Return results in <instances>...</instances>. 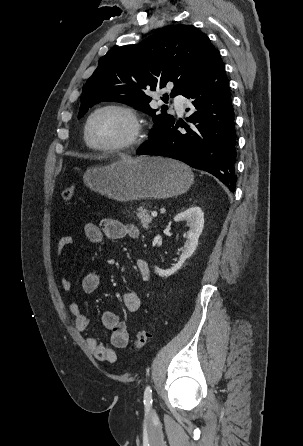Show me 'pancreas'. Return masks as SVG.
<instances>
[{
	"label": "pancreas",
	"mask_w": 303,
	"mask_h": 446,
	"mask_svg": "<svg viewBox=\"0 0 303 446\" xmlns=\"http://www.w3.org/2000/svg\"><path fill=\"white\" fill-rule=\"evenodd\" d=\"M137 217L140 219V223L144 228H148L152 222V217L149 214V211L144 207H139L137 209Z\"/></svg>",
	"instance_id": "obj_1"
}]
</instances>
